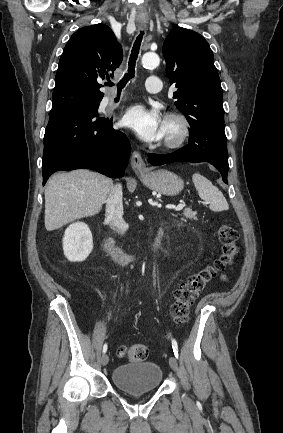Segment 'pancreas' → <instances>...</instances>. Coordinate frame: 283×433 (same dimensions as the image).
<instances>
[{"mask_svg": "<svg viewBox=\"0 0 283 433\" xmlns=\"http://www.w3.org/2000/svg\"><path fill=\"white\" fill-rule=\"evenodd\" d=\"M182 214L185 219H196L197 212L192 210V208H184ZM185 219H181V221H185Z\"/></svg>", "mask_w": 283, "mask_h": 433, "instance_id": "obj_1", "label": "pancreas"}]
</instances>
